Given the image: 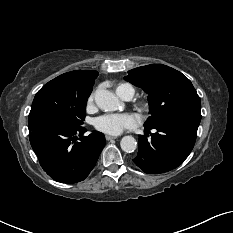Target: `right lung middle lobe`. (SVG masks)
<instances>
[{
	"label": "right lung middle lobe",
	"instance_id": "dd1d6c3e",
	"mask_svg": "<svg viewBox=\"0 0 233 233\" xmlns=\"http://www.w3.org/2000/svg\"><path fill=\"white\" fill-rule=\"evenodd\" d=\"M94 81L78 84L61 76L45 84L35 95L28 124L40 119L59 120L81 125L85 118L87 99Z\"/></svg>",
	"mask_w": 233,
	"mask_h": 233
}]
</instances>
